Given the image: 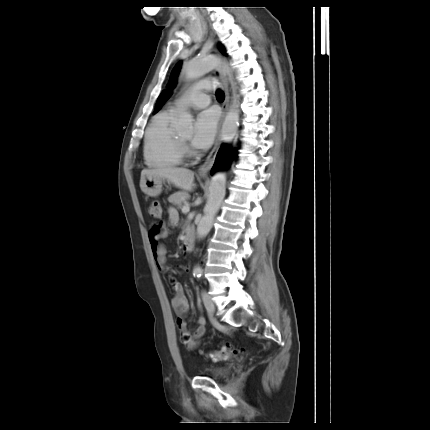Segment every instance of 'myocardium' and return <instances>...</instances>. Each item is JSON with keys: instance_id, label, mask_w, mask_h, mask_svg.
<instances>
[{"instance_id": "myocardium-1", "label": "myocardium", "mask_w": 430, "mask_h": 430, "mask_svg": "<svg viewBox=\"0 0 430 430\" xmlns=\"http://www.w3.org/2000/svg\"><path fill=\"white\" fill-rule=\"evenodd\" d=\"M176 141L182 157H189L192 155V151L188 147L187 141L183 140L179 135L176 134Z\"/></svg>"}]
</instances>
